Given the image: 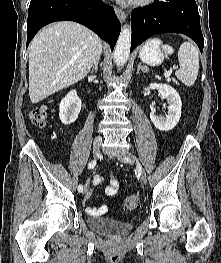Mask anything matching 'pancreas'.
Segmentation results:
<instances>
[{
  "instance_id": "cf45deb5",
  "label": "pancreas",
  "mask_w": 221,
  "mask_h": 263,
  "mask_svg": "<svg viewBox=\"0 0 221 263\" xmlns=\"http://www.w3.org/2000/svg\"><path fill=\"white\" fill-rule=\"evenodd\" d=\"M174 83L178 84V82L175 79H172Z\"/></svg>"
}]
</instances>
